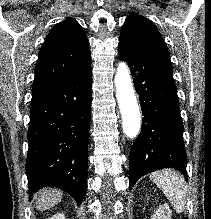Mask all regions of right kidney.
Wrapping results in <instances>:
<instances>
[{"instance_id": "1", "label": "right kidney", "mask_w": 211, "mask_h": 219, "mask_svg": "<svg viewBox=\"0 0 211 219\" xmlns=\"http://www.w3.org/2000/svg\"><path fill=\"white\" fill-rule=\"evenodd\" d=\"M48 219H66V218H65V215L63 213H57Z\"/></svg>"}]
</instances>
